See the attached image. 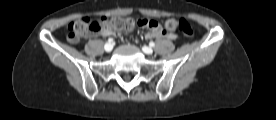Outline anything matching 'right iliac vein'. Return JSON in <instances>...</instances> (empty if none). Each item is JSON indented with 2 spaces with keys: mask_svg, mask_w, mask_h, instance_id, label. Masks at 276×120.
<instances>
[{
  "mask_svg": "<svg viewBox=\"0 0 276 120\" xmlns=\"http://www.w3.org/2000/svg\"><path fill=\"white\" fill-rule=\"evenodd\" d=\"M104 49L106 52H110L113 49V45L111 43H106Z\"/></svg>",
  "mask_w": 276,
  "mask_h": 120,
  "instance_id": "63e3f726",
  "label": "right iliac vein"
}]
</instances>
